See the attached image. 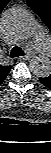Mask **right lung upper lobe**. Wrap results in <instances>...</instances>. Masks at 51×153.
I'll return each mask as SVG.
<instances>
[{
  "label": "right lung upper lobe",
  "instance_id": "right-lung-upper-lobe-1",
  "mask_svg": "<svg viewBox=\"0 0 51 153\" xmlns=\"http://www.w3.org/2000/svg\"><path fill=\"white\" fill-rule=\"evenodd\" d=\"M10 1L11 0H0V13ZM10 70H11V66H2L0 64V85L4 81V79L7 77Z\"/></svg>",
  "mask_w": 51,
  "mask_h": 153
}]
</instances>
